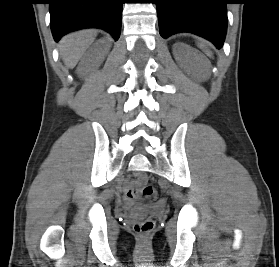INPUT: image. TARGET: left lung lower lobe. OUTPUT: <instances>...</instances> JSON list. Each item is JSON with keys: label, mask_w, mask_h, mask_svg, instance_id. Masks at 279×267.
<instances>
[{"label": "left lung lower lobe", "mask_w": 279, "mask_h": 267, "mask_svg": "<svg viewBox=\"0 0 279 267\" xmlns=\"http://www.w3.org/2000/svg\"><path fill=\"white\" fill-rule=\"evenodd\" d=\"M160 35L190 32L223 46L228 0H156Z\"/></svg>", "instance_id": "1"}]
</instances>
